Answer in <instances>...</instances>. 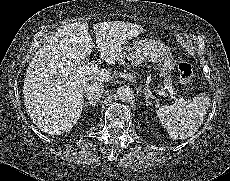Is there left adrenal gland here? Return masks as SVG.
<instances>
[{"label":"left adrenal gland","mask_w":230,"mask_h":181,"mask_svg":"<svg viewBox=\"0 0 230 181\" xmlns=\"http://www.w3.org/2000/svg\"><path fill=\"white\" fill-rule=\"evenodd\" d=\"M144 92H145V95H146V97H145L146 100H145V101H146V103L148 104V103H149V102H148V98H149V97H152V96H151V94L147 93V89H144Z\"/></svg>","instance_id":"left-adrenal-gland-1"}]
</instances>
